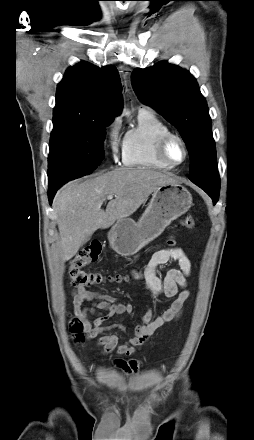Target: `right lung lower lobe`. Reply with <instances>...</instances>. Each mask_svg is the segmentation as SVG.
<instances>
[{"label":"right lung lower lobe","mask_w":254,"mask_h":440,"mask_svg":"<svg viewBox=\"0 0 254 440\" xmlns=\"http://www.w3.org/2000/svg\"><path fill=\"white\" fill-rule=\"evenodd\" d=\"M61 185H62V184H56V185H53V186H49L48 196H49V202H50V205H51V203H52V199H53V197H54V195H55L57 189H58Z\"/></svg>","instance_id":"98d812e1"}]
</instances>
